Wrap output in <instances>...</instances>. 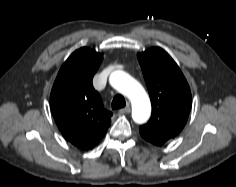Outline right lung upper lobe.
I'll use <instances>...</instances> for the list:
<instances>
[{"mask_svg":"<svg viewBox=\"0 0 236 187\" xmlns=\"http://www.w3.org/2000/svg\"><path fill=\"white\" fill-rule=\"evenodd\" d=\"M102 59V54L87 47L73 52L62 65L50 95L51 111L59 130L82 150L93 148L111 124L112 113L104 109L92 86Z\"/></svg>","mask_w":236,"mask_h":187,"instance_id":"cb5924a9","label":"right lung upper lobe"}]
</instances>
